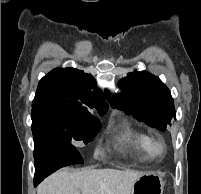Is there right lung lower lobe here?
Here are the masks:
<instances>
[{"mask_svg": "<svg viewBox=\"0 0 201 194\" xmlns=\"http://www.w3.org/2000/svg\"><path fill=\"white\" fill-rule=\"evenodd\" d=\"M35 143L34 160L35 176L34 186L36 187L45 177L65 166L68 160L78 151L73 145L64 146L45 138Z\"/></svg>", "mask_w": 201, "mask_h": 194, "instance_id": "98d812e1", "label": "right lung lower lobe"}]
</instances>
